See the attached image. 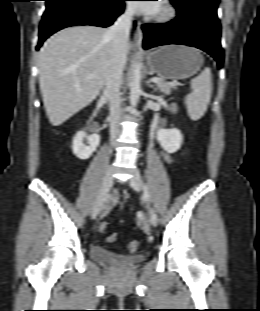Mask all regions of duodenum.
I'll list each match as a JSON object with an SVG mask.
<instances>
[{"mask_svg": "<svg viewBox=\"0 0 260 311\" xmlns=\"http://www.w3.org/2000/svg\"><path fill=\"white\" fill-rule=\"evenodd\" d=\"M91 108H92V110H93V111H97V107H96V105H92V107H91Z\"/></svg>", "mask_w": 260, "mask_h": 311, "instance_id": "duodenum-1", "label": "duodenum"}]
</instances>
